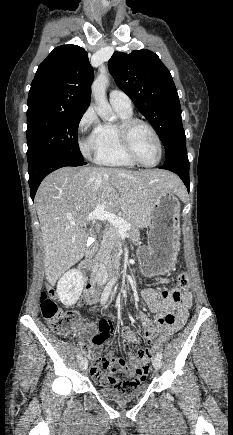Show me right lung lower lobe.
Listing matches in <instances>:
<instances>
[{
	"label": "right lung lower lobe",
	"instance_id": "1",
	"mask_svg": "<svg viewBox=\"0 0 233 435\" xmlns=\"http://www.w3.org/2000/svg\"><path fill=\"white\" fill-rule=\"evenodd\" d=\"M86 163L60 154H45L28 161L31 198L34 200L41 181L51 172L65 166H82Z\"/></svg>",
	"mask_w": 233,
	"mask_h": 435
}]
</instances>
